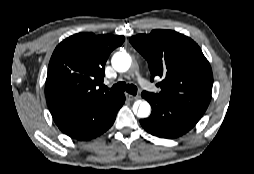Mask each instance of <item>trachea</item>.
I'll return each instance as SVG.
<instances>
[{
    "mask_svg": "<svg viewBox=\"0 0 254 174\" xmlns=\"http://www.w3.org/2000/svg\"><path fill=\"white\" fill-rule=\"evenodd\" d=\"M111 91H113V92L126 91L132 95H136L137 94V87L133 84H126L125 82H118L117 84L112 86Z\"/></svg>",
    "mask_w": 254,
    "mask_h": 174,
    "instance_id": "3493384b",
    "label": "trachea"
}]
</instances>
